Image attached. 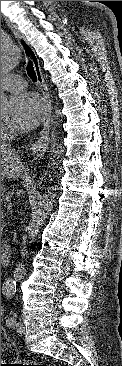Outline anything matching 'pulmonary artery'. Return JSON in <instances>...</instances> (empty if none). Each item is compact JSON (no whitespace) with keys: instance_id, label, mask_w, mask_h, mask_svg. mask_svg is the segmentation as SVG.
<instances>
[{"instance_id":"1","label":"pulmonary artery","mask_w":122,"mask_h":366,"mask_svg":"<svg viewBox=\"0 0 122 366\" xmlns=\"http://www.w3.org/2000/svg\"><path fill=\"white\" fill-rule=\"evenodd\" d=\"M26 86V81L18 75H7L1 78V89L5 91L20 92Z\"/></svg>"}]
</instances>
